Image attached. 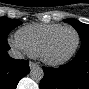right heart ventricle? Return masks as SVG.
<instances>
[{"mask_svg": "<svg viewBox=\"0 0 89 89\" xmlns=\"http://www.w3.org/2000/svg\"><path fill=\"white\" fill-rule=\"evenodd\" d=\"M61 27L60 24H29L20 28L16 36L25 51L29 55L37 57L46 38Z\"/></svg>", "mask_w": 89, "mask_h": 89, "instance_id": "1", "label": "right heart ventricle"}]
</instances>
